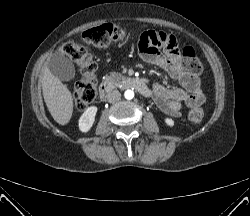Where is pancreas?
I'll return each instance as SVG.
<instances>
[{
	"label": "pancreas",
	"instance_id": "cf45deb5",
	"mask_svg": "<svg viewBox=\"0 0 250 216\" xmlns=\"http://www.w3.org/2000/svg\"><path fill=\"white\" fill-rule=\"evenodd\" d=\"M125 77L119 73H113L110 76H108L107 83L113 87H116L121 80H124Z\"/></svg>",
	"mask_w": 250,
	"mask_h": 216
}]
</instances>
